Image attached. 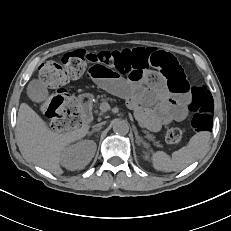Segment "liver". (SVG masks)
I'll return each mask as SVG.
<instances>
[{
  "label": "liver",
  "mask_w": 231,
  "mask_h": 231,
  "mask_svg": "<svg viewBox=\"0 0 231 231\" xmlns=\"http://www.w3.org/2000/svg\"><path fill=\"white\" fill-rule=\"evenodd\" d=\"M88 124L67 132L51 130L44 120L26 103H21L17 116V137L21 151L36 165L60 175L61 155L69 144L82 139Z\"/></svg>",
  "instance_id": "6515ba94"
}]
</instances>
